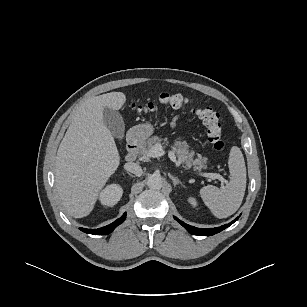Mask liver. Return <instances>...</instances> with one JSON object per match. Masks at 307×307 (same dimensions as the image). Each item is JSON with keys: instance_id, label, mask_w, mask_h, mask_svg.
<instances>
[{"instance_id": "liver-1", "label": "liver", "mask_w": 307, "mask_h": 307, "mask_svg": "<svg viewBox=\"0 0 307 307\" xmlns=\"http://www.w3.org/2000/svg\"><path fill=\"white\" fill-rule=\"evenodd\" d=\"M125 102L122 92L86 100L59 145L55 185L63 206L75 218L90 214L101 189L119 166L120 156L113 135L103 122V109L119 110Z\"/></svg>"}]
</instances>
